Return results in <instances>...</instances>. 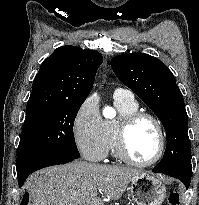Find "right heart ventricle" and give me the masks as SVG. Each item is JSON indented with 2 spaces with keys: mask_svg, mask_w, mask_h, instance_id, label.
I'll return each instance as SVG.
<instances>
[{
  "mask_svg": "<svg viewBox=\"0 0 199 205\" xmlns=\"http://www.w3.org/2000/svg\"><path fill=\"white\" fill-rule=\"evenodd\" d=\"M114 104L119 112V117L117 119H107L103 121V126L106 135L107 153L110 152L114 156H117L115 151L116 123L121 116L137 111L139 106L134 98L122 95L114 96Z\"/></svg>",
  "mask_w": 199,
  "mask_h": 205,
  "instance_id": "e07e8e85",
  "label": "right heart ventricle"
}]
</instances>
